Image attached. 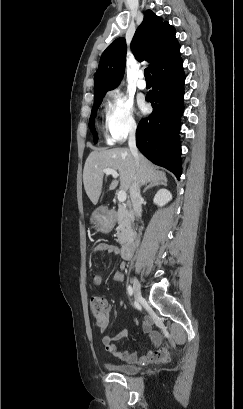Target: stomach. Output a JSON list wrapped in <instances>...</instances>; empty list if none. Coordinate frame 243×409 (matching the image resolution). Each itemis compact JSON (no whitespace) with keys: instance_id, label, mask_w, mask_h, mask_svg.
<instances>
[{"instance_id":"obj_1","label":"stomach","mask_w":243,"mask_h":409,"mask_svg":"<svg viewBox=\"0 0 243 409\" xmlns=\"http://www.w3.org/2000/svg\"><path fill=\"white\" fill-rule=\"evenodd\" d=\"M91 223L97 231L103 233H108L113 228V221L105 207H100L92 213Z\"/></svg>"}]
</instances>
